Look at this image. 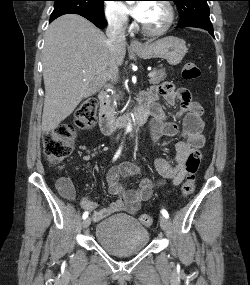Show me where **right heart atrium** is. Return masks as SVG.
<instances>
[{
    "mask_svg": "<svg viewBox=\"0 0 250 285\" xmlns=\"http://www.w3.org/2000/svg\"><path fill=\"white\" fill-rule=\"evenodd\" d=\"M105 17L109 25L117 29H126L129 25L127 11L119 1H109L105 5Z\"/></svg>",
    "mask_w": 250,
    "mask_h": 285,
    "instance_id": "right-heart-atrium-1",
    "label": "right heart atrium"
}]
</instances>
